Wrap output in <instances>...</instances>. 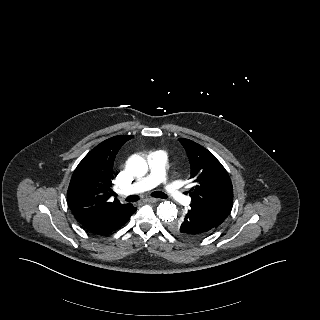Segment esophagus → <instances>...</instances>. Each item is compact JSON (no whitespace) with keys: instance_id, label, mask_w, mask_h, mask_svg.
<instances>
[{"instance_id":"1","label":"esophagus","mask_w":320,"mask_h":320,"mask_svg":"<svg viewBox=\"0 0 320 320\" xmlns=\"http://www.w3.org/2000/svg\"><path fill=\"white\" fill-rule=\"evenodd\" d=\"M146 202L148 203H154V202H157L158 199L157 198H153V197H148L145 199Z\"/></svg>"}]
</instances>
